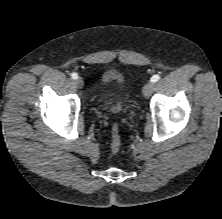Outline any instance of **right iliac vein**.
Here are the masks:
<instances>
[{"label":"right iliac vein","mask_w":222,"mask_h":219,"mask_svg":"<svg viewBox=\"0 0 222 219\" xmlns=\"http://www.w3.org/2000/svg\"><path fill=\"white\" fill-rule=\"evenodd\" d=\"M75 85L77 86V87H79V88H82L83 86H84V80L82 79V78H77L76 80H75Z\"/></svg>","instance_id":"right-iliac-vein-1"}]
</instances>
